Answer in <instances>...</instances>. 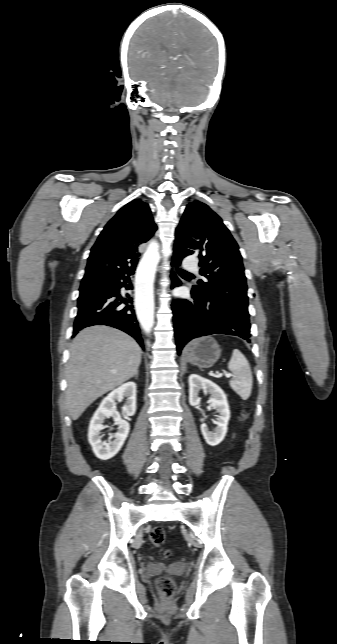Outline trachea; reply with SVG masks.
<instances>
[{
	"mask_svg": "<svg viewBox=\"0 0 337 644\" xmlns=\"http://www.w3.org/2000/svg\"><path fill=\"white\" fill-rule=\"evenodd\" d=\"M179 272H181V273H185V274H190V273H188V272H186V271H184V270H182V269H179Z\"/></svg>",
	"mask_w": 337,
	"mask_h": 644,
	"instance_id": "1",
	"label": "trachea"
}]
</instances>
